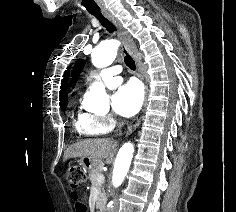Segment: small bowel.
Returning a JSON list of instances; mask_svg holds the SVG:
<instances>
[{"instance_id": "small-bowel-1", "label": "small bowel", "mask_w": 236, "mask_h": 212, "mask_svg": "<svg viewBox=\"0 0 236 212\" xmlns=\"http://www.w3.org/2000/svg\"><path fill=\"white\" fill-rule=\"evenodd\" d=\"M70 195H74V197H70V202H74V212H90L88 205H81L87 204L88 201L87 199H79V197H77V190H70Z\"/></svg>"}]
</instances>
